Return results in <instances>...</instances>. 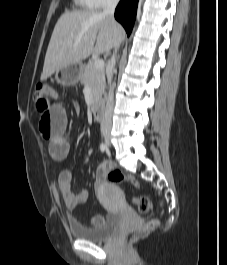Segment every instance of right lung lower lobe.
<instances>
[{
  "label": "right lung lower lobe",
  "instance_id": "1",
  "mask_svg": "<svg viewBox=\"0 0 227 265\" xmlns=\"http://www.w3.org/2000/svg\"><path fill=\"white\" fill-rule=\"evenodd\" d=\"M138 0H121L115 10V18L123 25L129 36L136 17Z\"/></svg>",
  "mask_w": 227,
  "mask_h": 265
}]
</instances>
